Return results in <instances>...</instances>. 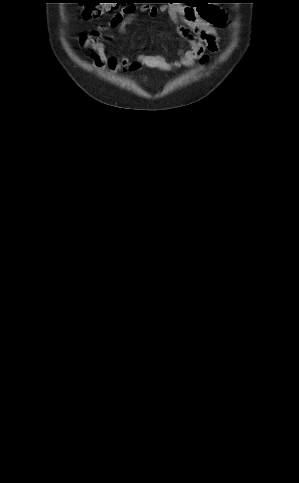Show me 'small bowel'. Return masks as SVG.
<instances>
[{
  "label": "small bowel",
  "mask_w": 299,
  "mask_h": 483,
  "mask_svg": "<svg viewBox=\"0 0 299 483\" xmlns=\"http://www.w3.org/2000/svg\"><path fill=\"white\" fill-rule=\"evenodd\" d=\"M208 19L199 15L195 5L153 6L144 4L140 7L129 5L116 13L104 30H94L81 37V46L93 63L101 69L116 72L119 70H137L142 66L164 71H176L180 67H192L197 62H205L209 54L216 53L219 48V36L216 26L225 22L224 12L217 6L205 4ZM138 12L156 16L166 12L176 23L181 37L189 42V48L181 49L176 60H168L161 55H139L134 60L116 58L106 53L104 32L116 30L120 34L126 32L127 26Z\"/></svg>",
  "instance_id": "1"
}]
</instances>
